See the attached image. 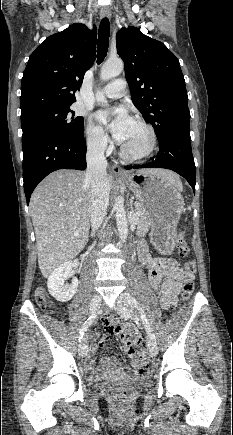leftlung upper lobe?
I'll return each mask as SVG.
<instances>
[{
  "mask_svg": "<svg viewBox=\"0 0 233 435\" xmlns=\"http://www.w3.org/2000/svg\"><path fill=\"white\" fill-rule=\"evenodd\" d=\"M116 44L132 102L151 123L157 139L190 129L185 80L175 55L136 27L118 31Z\"/></svg>",
  "mask_w": 233,
  "mask_h": 435,
  "instance_id": "1",
  "label": "left lung upper lobe"
}]
</instances>
